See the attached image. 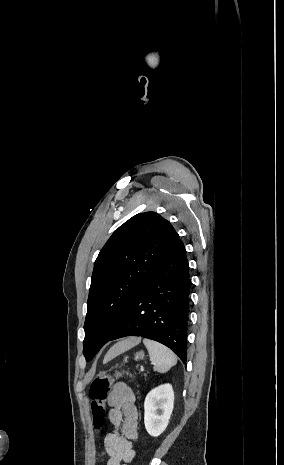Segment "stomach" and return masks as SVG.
Masks as SVG:
<instances>
[{
	"label": "stomach",
	"instance_id": "0dacf381",
	"mask_svg": "<svg viewBox=\"0 0 284 465\" xmlns=\"http://www.w3.org/2000/svg\"><path fill=\"white\" fill-rule=\"evenodd\" d=\"M143 357H144L143 351H139V353H136L135 355L136 361H139V359H143Z\"/></svg>",
	"mask_w": 284,
	"mask_h": 465
}]
</instances>
